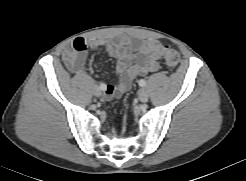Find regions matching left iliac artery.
I'll use <instances>...</instances> for the list:
<instances>
[{"label": "left iliac artery", "instance_id": "left-iliac-artery-1", "mask_svg": "<svg viewBox=\"0 0 246 181\" xmlns=\"http://www.w3.org/2000/svg\"><path fill=\"white\" fill-rule=\"evenodd\" d=\"M139 86L145 87L146 86V81L144 79L139 80Z\"/></svg>", "mask_w": 246, "mask_h": 181}]
</instances>
